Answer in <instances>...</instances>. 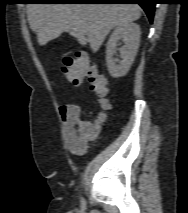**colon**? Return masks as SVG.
Returning a JSON list of instances; mask_svg holds the SVG:
<instances>
[{
  "label": "colon",
  "mask_w": 188,
  "mask_h": 213,
  "mask_svg": "<svg viewBox=\"0 0 188 213\" xmlns=\"http://www.w3.org/2000/svg\"><path fill=\"white\" fill-rule=\"evenodd\" d=\"M59 72L68 83L74 86L79 85L82 78L87 76L91 91L102 100L105 109L109 108V105L105 102L109 91L107 81L86 53L79 52L75 57H65L59 66ZM72 138L75 145L80 144L76 135L73 134Z\"/></svg>",
  "instance_id": "5ec220e1"
}]
</instances>
